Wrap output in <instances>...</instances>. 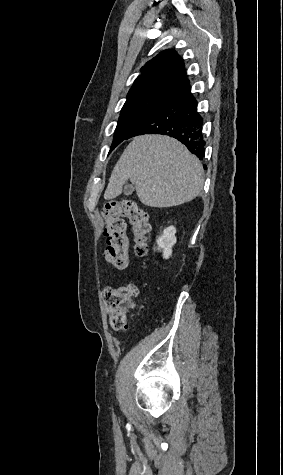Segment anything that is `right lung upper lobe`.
Returning a JSON list of instances; mask_svg holds the SVG:
<instances>
[{"label":"right lung upper lobe","mask_w":283,"mask_h":475,"mask_svg":"<svg viewBox=\"0 0 283 475\" xmlns=\"http://www.w3.org/2000/svg\"><path fill=\"white\" fill-rule=\"evenodd\" d=\"M127 99L160 89H179L189 83L184 63L176 51H162L141 68Z\"/></svg>","instance_id":"obj_1"}]
</instances>
